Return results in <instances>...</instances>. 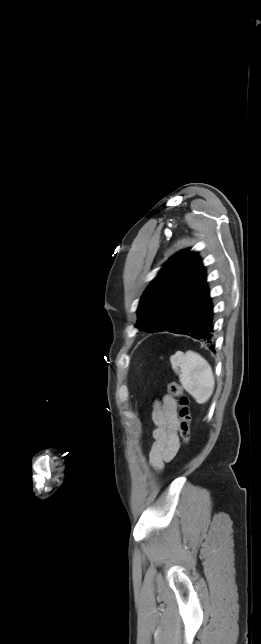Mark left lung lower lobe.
<instances>
[{
    "label": "left lung lower lobe",
    "instance_id": "1",
    "mask_svg": "<svg viewBox=\"0 0 261 644\" xmlns=\"http://www.w3.org/2000/svg\"><path fill=\"white\" fill-rule=\"evenodd\" d=\"M213 304L208 296L183 322L168 332L188 335L207 344L213 350Z\"/></svg>",
    "mask_w": 261,
    "mask_h": 644
}]
</instances>
